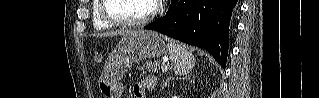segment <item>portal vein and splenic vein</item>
Returning a JSON list of instances; mask_svg holds the SVG:
<instances>
[{"instance_id":"18ae733b","label":"portal vein and splenic vein","mask_w":319,"mask_h":98,"mask_svg":"<svg viewBox=\"0 0 319 98\" xmlns=\"http://www.w3.org/2000/svg\"><path fill=\"white\" fill-rule=\"evenodd\" d=\"M161 70L162 71H168V66L165 63L161 64Z\"/></svg>"}]
</instances>
